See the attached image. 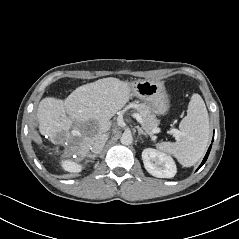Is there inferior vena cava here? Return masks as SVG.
Returning <instances> with one entry per match:
<instances>
[{
	"label": "inferior vena cava",
	"instance_id": "obj_1",
	"mask_svg": "<svg viewBox=\"0 0 239 239\" xmlns=\"http://www.w3.org/2000/svg\"><path fill=\"white\" fill-rule=\"evenodd\" d=\"M108 140V135L107 134H101L96 138L95 141V148L99 151L102 150V148L104 147L105 143Z\"/></svg>",
	"mask_w": 239,
	"mask_h": 239
}]
</instances>
